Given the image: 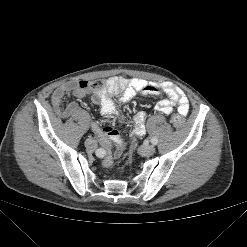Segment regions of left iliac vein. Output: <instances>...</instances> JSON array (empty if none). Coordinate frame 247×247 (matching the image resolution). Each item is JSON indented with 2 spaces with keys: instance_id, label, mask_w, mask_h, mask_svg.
<instances>
[{
  "instance_id": "left-iliac-vein-1",
  "label": "left iliac vein",
  "mask_w": 247,
  "mask_h": 247,
  "mask_svg": "<svg viewBox=\"0 0 247 247\" xmlns=\"http://www.w3.org/2000/svg\"><path fill=\"white\" fill-rule=\"evenodd\" d=\"M139 152L143 156H151L155 153V147L153 145L142 146Z\"/></svg>"
}]
</instances>
